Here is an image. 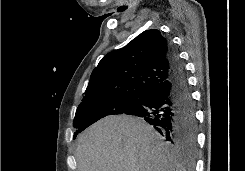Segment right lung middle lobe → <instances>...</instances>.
<instances>
[{
    "label": "right lung middle lobe",
    "mask_w": 245,
    "mask_h": 171,
    "mask_svg": "<svg viewBox=\"0 0 245 171\" xmlns=\"http://www.w3.org/2000/svg\"><path fill=\"white\" fill-rule=\"evenodd\" d=\"M139 97L136 95H120L82 101L77 108L73 121V126L76 128L74 138L99 119L108 115L122 114L130 105L136 103Z\"/></svg>",
    "instance_id": "right-lung-middle-lobe-1"
}]
</instances>
